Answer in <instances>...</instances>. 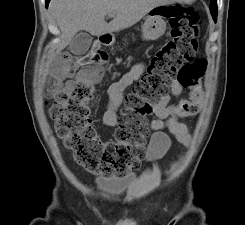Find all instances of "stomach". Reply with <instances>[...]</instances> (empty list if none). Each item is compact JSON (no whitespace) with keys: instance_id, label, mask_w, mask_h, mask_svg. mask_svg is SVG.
<instances>
[{"instance_id":"obj_1","label":"stomach","mask_w":245,"mask_h":225,"mask_svg":"<svg viewBox=\"0 0 245 225\" xmlns=\"http://www.w3.org/2000/svg\"><path fill=\"white\" fill-rule=\"evenodd\" d=\"M164 7L167 5H159L150 10L143 26L142 37L147 41H154L164 35L166 31V22L164 20Z\"/></svg>"}]
</instances>
